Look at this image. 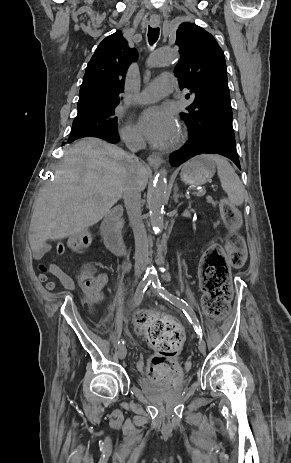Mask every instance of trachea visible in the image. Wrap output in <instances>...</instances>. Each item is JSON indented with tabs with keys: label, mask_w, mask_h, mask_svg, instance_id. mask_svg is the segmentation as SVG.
Returning a JSON list of instances; mask_svg holds the SVG:
<instances>
[{
	"label": "trachea",
	"mask_w": 291,
	"mask_h": 463,
	"mask_svg": "<svg viewBox=\"0 0 291 463\" xmlns=\"http://www.w3.org/2000/svg\"><path fill=\"white\" fill-rule=\"evenodd\" d=\"M159 37V28H152L149 26L148 29V40L151 45H153Z\"/></svg>",
	"instance_id": "1"
}]
</instances>
